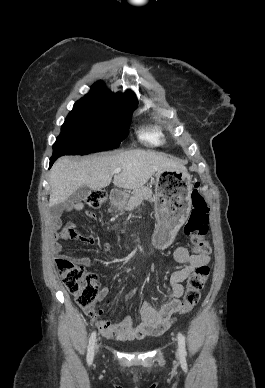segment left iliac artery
<instances>
[{
    "label": "left iliac artery",
    "mask_w": 265,
    "mask_h": 388,
    "mask_svg": "<svg viewBox=\"0 0 265 388\" xmlns=\"http://www.w3.org/2000/svg\"><path fill=\"white\" fill-rule=\"evenodd\" d=\"M179 352L182 357L186 356L185 337L182 333H178Z\"/></svg>",
    "instance_id": "left-iliac-artery-1"
}]
</instances>
